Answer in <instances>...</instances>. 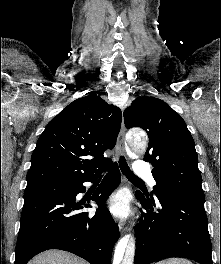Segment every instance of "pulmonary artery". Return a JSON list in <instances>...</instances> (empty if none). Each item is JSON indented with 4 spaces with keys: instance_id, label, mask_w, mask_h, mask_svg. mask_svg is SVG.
Here are the masks:
<instances>
[{
    "instance_id": "pulmonary-artery-1",
    "label": "pulmonary artery",
    "mask_w": 221,
    "mask_h": 264,
    "mask_svg": "<svg viewBox=\"0 0 221 264\" xmlns=\"http://www.w3.org/2000/svg\"><path fill=\"white\" fill-rule=\"evenodd\" d=\"M134 171H135L136 175H138L139 177H142V178L148 180L151 186L156 185V181L153 178L151 170L147 166L146 163H144L142 161H137L135 164V167H134Z\"/></svg>"
}]
</instances>
